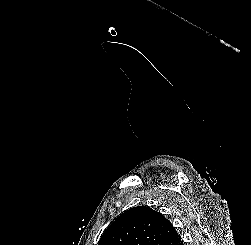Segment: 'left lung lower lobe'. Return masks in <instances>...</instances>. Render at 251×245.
Wrapping results in <instances>:
<instances>
[{
	"instance_id": "left-lung-lower-lobe-1",
	"label": "left lung lower lobe",
	"mask_w": 251,
	"mask_h": 245,
	"mask_svg": "<svg viewBox=\"0 0 251 245\" xmlns=\"http://www.w3.org/2000/svg\"><path fill=\"white\" fill-rule=\"evenodd\" d=\"M179 245H184V244L181 242V243H179Z\"/></svg>"
}]
</instances>
